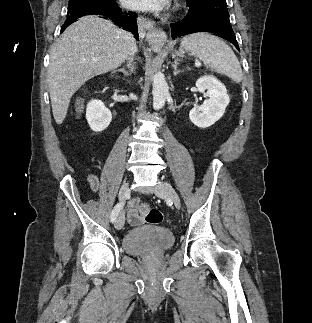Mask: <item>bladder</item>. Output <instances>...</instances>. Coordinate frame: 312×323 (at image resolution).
Listing matches in <instances>:
<instances>
[{
	"mask_svg": "<svg viewBox=\"0 0 312 323\" xmlns=\"http://www.w3.org/2000/svg\"><path fill=\"white\" fill-rule=\"evenodd\" d=\"M174 239L167 230L156 227H141L125 235L124 251L134 256L148 252L166 251L173 245Z\"/></svg>",
	"mask_w": 312,
	"mask_h": 323,
	"instance_id": "1",
	"label": "bladder"
}]
</instances>
